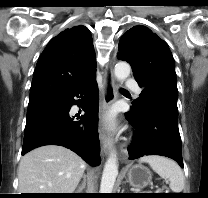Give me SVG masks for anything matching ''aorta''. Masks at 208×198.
Instances as JSON below:
<instances>
[{"instance_id": "1", "label": "aorta", "mask_w": 208, "mask_h": 198, "mask_svg": "<svg viewBox=\"0 0 208 198\" xmlns=\"http://www.w3.org/2000/svg\"><path fill=\"white\" fill-rule=\"evenodd\" d=\"M130 65L126 62H118L115 65L114 74L117 80L124 81L130 75ZM118 175V163L116 154H111L107 159L101 184H100V193H112L116 177Z\"/></svg>"}]
</instances>
